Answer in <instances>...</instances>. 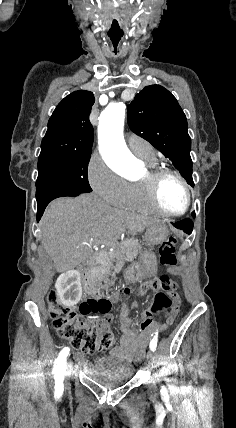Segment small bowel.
<instances>
[{
	"label": "small bowel",
	"instance_id": "c3829d8e",
	"mask_svg": "<svg viewBox=\"0 0 236 428\" xmlns=\"http://www.w3.org/2000/svg\"><path fill=\"white\" fill-rule=\"evenodd\" d=\"M119 325L122 332L119 344L111 349L110 358L117 361L136 362L142 359L151 336L155 331L153 324L141 326L129 317L128 309L124 307L119 316ZM78 362L85 369H93L84 352L76 355ZM106 360L100 361L105 364Z\"/></svg>",
	"mask_w": 236,
	"mask_h": 428
}]
</instances>
